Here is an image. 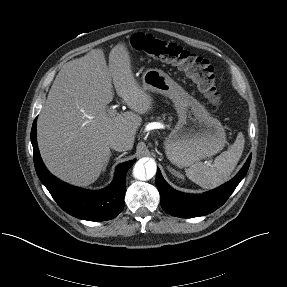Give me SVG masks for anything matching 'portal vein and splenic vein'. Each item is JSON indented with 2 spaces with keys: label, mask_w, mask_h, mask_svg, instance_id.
I'll use <instances>...</instances> for the list:
<instances>
[{
  "label": "portal vein and splenic vein",
  "mask_w": 287,
  "mask_h": 287,
  "mask_svg": "<svg viewBox=\"0 0 287 287\" xmlns=\"http://www.w3.org/2000/svg\"><path fill=\"white\" fill-rule=\"evenodd\" d=\"M110 114L114 116L117 114V111L115 109H112V110H110Z\"/></svg>",
  "instance_id": "1"
}]
</instances>
